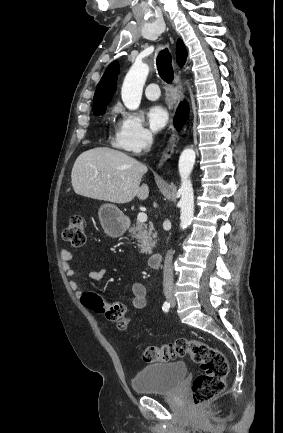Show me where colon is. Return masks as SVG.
Here are the masks:
<instances>
[{
	"mask_svg": "<svg viewBox=\"0 0 283 433\" xmlns=\"http://www.w3.org/2000/svg\"><path fill=\"white\" fill-rule=\"evenodd\" d=\"M63 238L74 248L82 247L86 243L85 219L80 215L71 216L63 230ZM81 301L91 311L104 314L118 330L128 328L130 319L126 316L123 304L107 303L93 292L84 294ZM140 355L145 362L168 361L189 356L197 363L202 373L192 384V397L196 406L206 404L225 389V378L229 371L228 361L220 350L204 342L179 338L159 346L147 345L141 349Z\"/></svg>",
	"mask_w": 283,
	"mask_h": 433,
	"instance_id": "5ec220e1",
	"label": "colon"
}]
</instances>
